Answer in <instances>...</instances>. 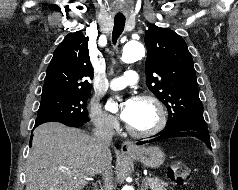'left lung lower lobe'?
Listing matches in <instances>:
<instances>
[{"label": "left lung lower lobe", "instance_id": "obj_1", "mask_svg": "<svg viewBox=\"0 0 238 190\" xmlns=\"http://www.w3.org/2000/svg\"><path fill=\"white\" fill-rule=\"evenodd\" d=\"M186 135L197 137L207 146L211 147L207 124L204 118L201 117L184 118L173 124L166 125V127L157 134V137L149 141H140L137 145Z\"/></svg>", "mask_w": 238, "mask_h": 190}]
</instances>
